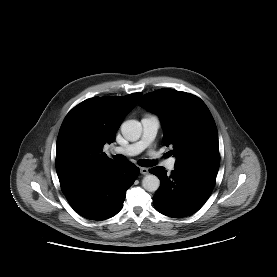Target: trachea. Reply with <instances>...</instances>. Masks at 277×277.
I'll return each instance as SVG.
<instances>
[{"instance_id":"1","label":"trachea","mask_w":277,"mask_h":277,"mask_svg":"<svg viewBox=\"0 0 277 277\" xmlns=\"http://www.w3.org/2000/svg\"><path fill=\"white\" fill-rule=\"evenodd\" d=\"M114 160L118 163H123L126 159L123 155L117 154L114 156ZM138 164L143 167H151L155 165V162L147 159H141Z\"/></svg>"}]
</instances>
